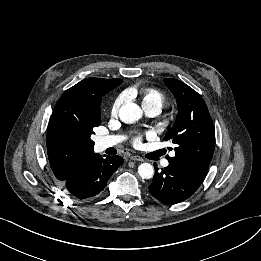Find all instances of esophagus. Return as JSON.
<instances>
[{
    "mask_svg": "<svg viewBox=\"0 0 261 261\" xmlns=\"http://www.w3.org/2000/svg\"><path fill=\"white\" fill-rule=\"evenodd\" d=\"M130 159H131V160H134V161H141V162L144 161V159H143L142 157L137 156V155H132V156H130Z\"/></svg>",
    "mask_w": 261,
    "mask_h": 261,
    "instance_id": "34e87169",
    "label": "esophagus"
}]
</instances>
